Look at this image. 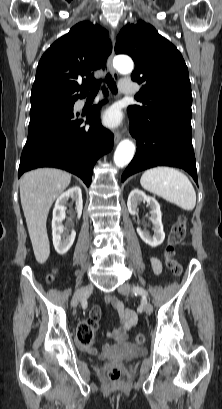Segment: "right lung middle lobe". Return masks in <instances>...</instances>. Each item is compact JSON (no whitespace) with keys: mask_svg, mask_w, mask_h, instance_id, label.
Here are the masks:
<instances>
[{"mask_svg":"<svg viewBox=\"0 0 222 409\" xmlns=\"http://www.w3.org/2000/svg\"><path fill=\"white\" fill-rule=\"evenodd\" d=\"M60 105H72V104H43V105L31 107L30 120L38 118L42 116L43 114L47 113L48 111H50L51 109L57 106H60Z\"/></svg>","mask_w":222,"mask_h":409,"instance_id":"obj_1","label":"right lung middle lobe"}]
</instances>
